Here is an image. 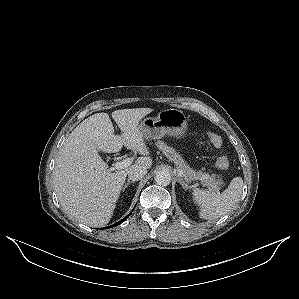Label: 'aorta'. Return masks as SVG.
I'll use <instances>...</instances> for the list:
<instances>
[{
	"mask_svg": "<svg viewBox=\"0 0 299 299\" xmlns=\"http://www.w3.org/2000/svg\"><path fill=\"white\" fill-rule=\"evenodd\" d=\"M155 182L160 186H167L171 182V174L168 170H158L154 176Z\"/></svg>",
	"mask_w": 299,
	"mask_h": 299,
	"instance_id": "762f6f07",
	"label": "aorta"
}]
</instances>
